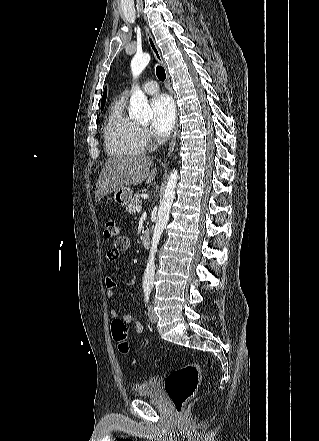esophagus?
Instances as JSON below:
<instances>
[{
    "label": "esophagus",
    "instance_id": "esophagus-1",
    "mask_svg": "<svg viewBox=\"0 0 319 441\" xmlns=\"http://www.w3.org/2000/svg\"><path fill=\"white\" fill-rule=\"evenodd\" d=\"M145 31H146V37H147V40H148L149 46H150V48H151V50H152V53H153V55H154V57H155V60H156L160 65H162L163 67H165V64H164V61H163V59H162V56H161L160 50H159V48L157 47V45H156V43H155V40H154L152 34L150 33V31H149L148 28H145ZM166 83H167V85H168V87H169V92H170V94L175 98V94H174V92H173V90H172V88H171L170 77H169V74H168L167 71H166ZM177 133H178V119H176V123H175V127H174V132H173V135H172L171 140H170L169 145H168V155H170V154L172 153V151L174 150V147H175V144H176Z\"/></svg>",
    "mask_w": 319,
    "mask_h": 441
}]
</instances>
